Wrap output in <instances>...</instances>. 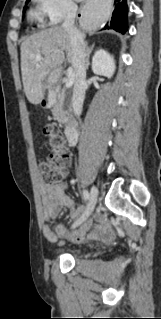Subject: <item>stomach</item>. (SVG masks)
Wrapping results in <instances>:
<instances>
[{"instance_id":"stomach-1","label":"stomach","mask_w":161,"mask_h":319,"mask_svg":"<svg viewBox=\"0 0 161 319\" xmlns=\"http://www.w3.org/2000/svg\"><path fill=\"white\" fill-rule=\"evenodd\" d=\"M60 74V70H55L51 73V75L48 77L47 83L48 84H53L57 81V78Z\"/></svg>"}]
</instances>
